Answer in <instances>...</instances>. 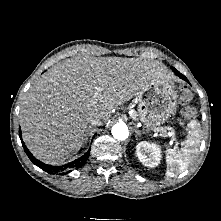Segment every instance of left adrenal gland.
Wrapping results in <instances>:
<instances>
[{
    "mask_svg": "<svg viewBox=\"0 0 221 221\" xmlns=\"http://www.w3.org/2000/svg\"><path fill=\"white\" fill-rule=\"evenodd\" d=\"M135 133H136L135 137H136V139H138V136L141 135V132H140L138 129H136V130H135Z\"/></svg>",
    "mask_w": 221,
    "mask_h": 221,
    "instance_id": "left-adrenal-gland-1",
    "label": "left adrenal gland"
}]
</instances>
